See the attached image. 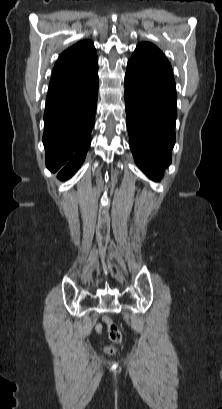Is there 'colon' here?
<instances>
[{
    "mask_svg": "<svg viewBox=\"0 0 222 409\" xmlns=\"http://www.w3.org/2000/svg\"><path fill=\"white\" fill-rule=\"evenodd\" d=\"M104 320L108 325V332H109V337L111 341L114 342L115 344L122 343L123 338H122V334L119 331L118 327L114 323H112L108 317H105ZM108 351L114 352V348L110 347Z\"/></svg>",
    "mask_w": 222,
    "mask_h": 409,
    "instance_id": "obj_1",
    "label": "colon"
}]
</instances>
